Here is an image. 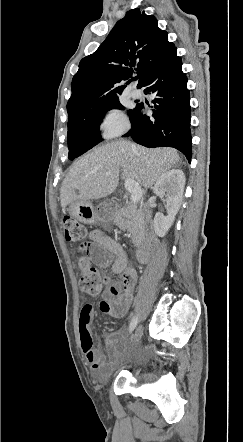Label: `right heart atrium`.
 I'll return each mask as SVG.
<instances>
[{"mask_svg": "<svg viewBox=\"0 0 243 442\" xmlns=\"http://www.w3.org/2000/svg\"><path fill=\"white\" fill-rule=\"evenodd\" d=\"M99 127L104 137L115 138L123 134L130 127V122L122 110L112 108L105 112Z\"/></svg>", "mask_w": 243, "mask_h": 442, "instance_id": "obj_1", "label": "right heart atrium"}]
</instances>
